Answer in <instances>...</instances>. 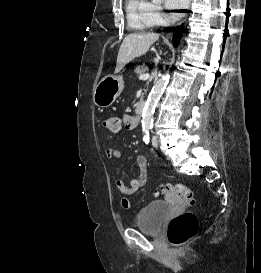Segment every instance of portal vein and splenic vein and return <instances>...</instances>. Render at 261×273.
Wrapping results in <instances>:
<instances>
[{"label":"portal vein and splenic vein","mask_w":261,"mask_h":273,"mask_svg":"<svg viewBox=\"0 0 261 273\" xmlns=\"http://www.w3.org/2000/svg\"><path fill=\"white\" fill-rule=\"evenodd\" d=\"M149 77H150V75L148 73H144L139 76V79L140 80H147Z\"/></svg>","instance_id":"18ae733b"}]
</instances>
